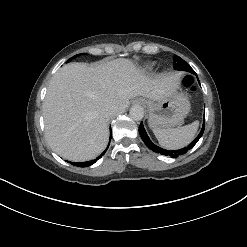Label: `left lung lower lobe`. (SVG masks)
<instances>
[{"label": "left lung lower lobe", "instance_id": "1", "mask_svg": "<svg viewBox=\"0 0 247 247\" xmlns=\"http://www.w3.org/2000/svg\"><path fill=\"white\" fill-rule=\"evenodd\" d=\"M195 75H196V73H195ZM204 128H205V123H203L202 129H201L199 135L187 147H184V148L179 149V150H172V151L165 150V149H162V148L156 146L149 139V137H148V135H147V133H146V131L144 129L143 123H141L140 126H139V133H140V136H141L142 140L144 141V143L146 144V146L149 149H151L152 151H154L156 153H160L162 155L171 156L172 158H175V157H178L179 155L185 154L188 150H190L198 142V140L203 135Z\"/></svg>", "mask_w": 247, "mask_h": 247}]
</instances>
